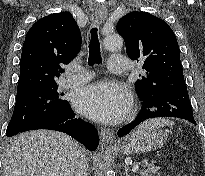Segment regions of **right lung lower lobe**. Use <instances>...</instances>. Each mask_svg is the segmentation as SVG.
<instances>
[{
  "label": "right lung lower lobe",
  "instance_id": "98d812e1",
  "mask_svg": "<svg viewBox=\"0 0 205 176\" xmlns=\"http://www.w3.org/2000/svg\"><path fill=\"white\" fill-rule=\"evenodd\" d=\"M35 129H51L64 132L91 151H94L99 144L97 130L82 119L75 118V113L72 111L69 103L36 119L20 132Z\"/></svg>",
  "mask_w": 205,
  "mask_h": 176
}]
</instances>
